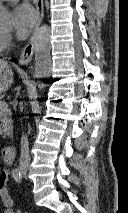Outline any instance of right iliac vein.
Listing matches in <instances>:
<instances>
[{
	"instance_id": "right-iliac-vein-1",
	"label": "right iliac vein",
	"mask_w": 128,
	"mask_h": 213,
	"mask_svg": "<svg viewBox=\"0 0 128 213\" xmlns=\"http://www.w3.org/2000/svg\"><path fill=\"white\" fill-rule=\"evenodd\" d=\"M21 171H22V173H26L27 172V168L26 167H22Z\"/></svg>"
}]
</instances>
